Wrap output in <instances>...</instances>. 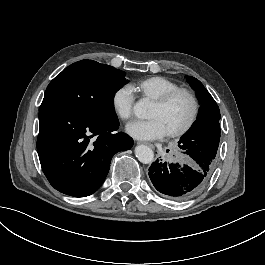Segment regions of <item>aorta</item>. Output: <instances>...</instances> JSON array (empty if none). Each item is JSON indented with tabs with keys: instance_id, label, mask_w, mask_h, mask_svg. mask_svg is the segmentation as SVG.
<instances>
[{
	"instance_id": "obj_1",
	"label": "aorta",
	"mask_w": 265,
	"mask_h": 265,
	"mask_svg": "<svg viewBox=\"0 0 265 265\" xmlns=\"http://www.w3.org/2000/svg\"><path fill=\"white\" fill-rule=\"evenodd\" d=\"M148 103L146 99H141L133 105V113L137 118L146 119L149 117ZM135 155L142 164L150 165L154 162V152L150 147L138 146L135 149Z\"/></svg>"
}]
</instances>
